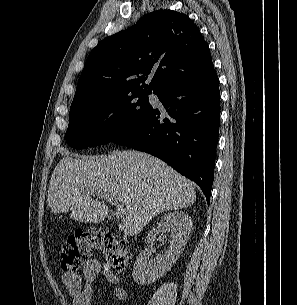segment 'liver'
<instances>
[{"label":"liver","instance_id":"1","mask_svg":"<svg viewBox=\"0 0 297 305\" xmlns=\"http://www.w3.org/2000/svg\"><path fill=\"white\" fill-rule=\"evenodd\" d=\"M109 194L125 208L123 231L138 234L158 214L187 208L196 200L192 183L163 161L137 151L108 156H66L56 165L47 202L53 213L71 211L70 218L100 223L109 207L93 199Z\"/></svg>","mask_w":297,"mask_h":305}]
</instances>
